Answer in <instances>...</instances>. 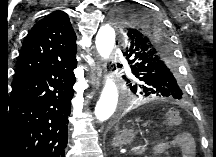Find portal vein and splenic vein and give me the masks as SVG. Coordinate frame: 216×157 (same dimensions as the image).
Masks as SVG:
<instances>
[{
	"mask_svg": "<svg viewBox=\"0 0 216 157\" xmlns=\"http://www.w3.org/2000/svg\"><path fill=\"white\" fill-rule=\"evenodd\" d=\"M134 151H137V152H144L145 151V148L143 146H137L136 148L133 149Z\"/></svg>",
	"mask_w": 216,
	"mask_h": 157,
	"instance_id": "obj_1",
	"label": "portal vein and splenic vein"
}]
</instances>
